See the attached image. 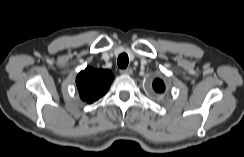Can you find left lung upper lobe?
I'll list each match as a JSON object with an SVG mask.
<instances>
[{
	"label": "left lung upper lobe",
	"mask_w": 244,
	"mask_h": 157,
	"mask_svg": "<svg viewBox=\"0 0 244 157\" xmlns=\"http://www.w3.org/2000/svg\"><path fill=\"white\" fill-rule=\"evenodd\" d=\"M153 89L158 93L163 92L165 90V85L163 81L160 79H155L153 82Z\"/></svg>",
	"instance_id": "obj_1"
}]
</instances>
